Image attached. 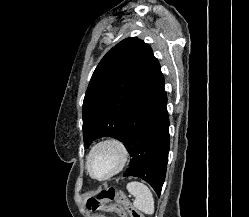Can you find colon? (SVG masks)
<instances>
[{
  "instance_id": "1",
  "label": "colon",
  "mask_w": 249,
  "mask_h": 217,
  "mask_svg": "<svg viewBox=\"0 0 249 217\" xmlns=\"http://www.w3.org/2000/svg\"><path fill=\"white\" fill-rule=\"evenodd\" d=\"M88 208L93 211H108L120 217H144L127 200V198L113 187L102 189L95 197L88 199Z\"/></svg>"
}]
</instances>
